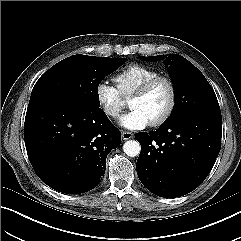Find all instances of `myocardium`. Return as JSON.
I'll use <instances>...</instances> for the list:
<instances>
[{"instance_id":"f54148a6","label":"myocardium","mask_w":241,"mask_h":241,"mask_svg":"<svg viewBox=\"0 0 241 241\" xmlns=\"http://www.w3.org/2000/svg\"><path fill=\"white\" fill-rule=\"evenodd\" d=\"M165 83L170 91V100L166 110L156 119L149 122L150 126L157 127L164 124L173 114L176 104H177V87L174 81L167 76H156L144 84H142L139 88H137L131 95V97H143L147 95L157 84Z\"/></svg>"}]
</instances>
